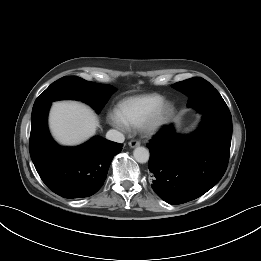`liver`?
Returning <instances> with one entry per match:
<instances>
[{
    "label": "liver",
    "instance_id": "1",
    "mask_svg": "<svg viewBox=\"0 0 261 261\" xmlns=\"http://www.w3.org/2000/svg\"><path fill=\"white\" fill-rule=\"evenodd\" d=\"M49 126L60 144L74 146L92 137L99 121L88 106L75 101H60L52 105Z\"/></svg>",
    "mask_w": 261,
    "mask_h": 261
}]
</instances>
